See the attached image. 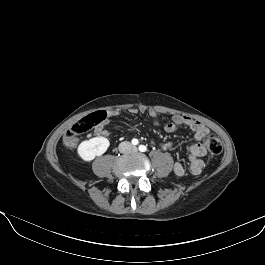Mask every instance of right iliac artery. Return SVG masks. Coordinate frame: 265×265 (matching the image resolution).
Here are the masks:
<instances>
[{
    "instance_id": "right-iliac-artery-1",
    "label": "right iliac artery",
    "mask_w": 265,
    "mask_h": 265,
    "mask_svg": "<svg viewBox=\"0 0 265 265\" xmlns=\"http://www.w3.org/2000/svg\"><path fill=\"white\" fill-rule=\"evenodd\" d=\"M138 143H139V142H138L137 139L134 138V139L132 140V144H133V145H137Z\"/></svg>"
}]
</instances>
